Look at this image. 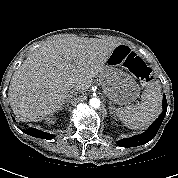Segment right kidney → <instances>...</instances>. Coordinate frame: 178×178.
Returning <instances> with one entry per match:
<instances>
[{"mask_svg": "<svg viewBox=\"0 0 178 178\" xmlns=\"http://www.w3.org/2000/svg\"><path fill=\"white\" fill-rule=\"evenodd\" d=\"M46 120L48 121V123H54L53 118L48 117Z\"/></svg>", "mask_w": 178, "mask_h": 178, "instance_id": "1", "label": "right kidney"}]
</instances>
